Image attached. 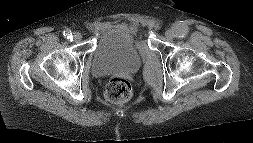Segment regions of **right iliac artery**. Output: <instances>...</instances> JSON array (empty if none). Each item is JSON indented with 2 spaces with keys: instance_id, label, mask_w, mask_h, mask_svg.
<instances>
[{
  "instance_id": "obj_1",
  "label": "right iliac artery",
  "mask_w": 253,
  "mask_h": 143,
  "mask_svg": "<svg viewBox=\"0 0 253 143\" xmlns=\"http://www.w3.org/2000/svg\"><path fill=\"white\" fill-rule=\"evenodd\" d=\"M63 35L67 38V39H69V38H72V33H71V31L70 30H65L64 32H63Z\"/></svg>"
}]
</instances>
